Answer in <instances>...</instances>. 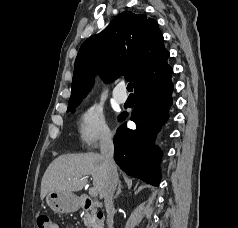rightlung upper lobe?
<instances>
[{
  "label": "right lung upper lobe",
  "mask_w": 238,
  "mask_h": 228,
  "mask_svg": "<svg viewBox=\"0 0 238 228\" xmlns=\"http://www.w3.org/2000/svg\"><path fill=\"white\" fill-rule=\"evenodd\" d=\"M157 22L144 14L124 11L99 34L88 38L75 60L69 103L80 104L99 72L110 83L120 75L135 91L172 68Z\"/></svg>",
  "instance_id": "1"
}]
</instances>
